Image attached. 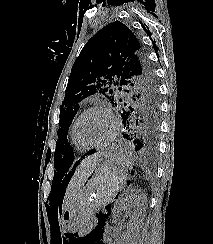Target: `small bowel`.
<instances>
[{
    "mask_svg": "<svg viewBox=\"0 0 213 244\" xmlns=\"http://www.w3.org/2000/svg\"><path fill=\"white\" fill-rule=\"evenodd\" d=\"M98 244H105L104 242H99Z\"/></svg>",
    "mask_w": 213,
    "mask_h": 244,
    "instance_id": "small-bowel-1",
    "label": "small bowel"
}]
</instances>
